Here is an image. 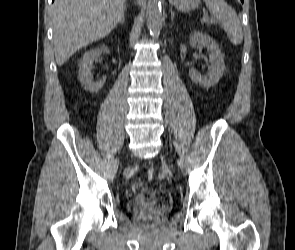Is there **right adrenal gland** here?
I'll use <instances>...</instances> for the list:
<instances>
[{
	"label": "right adrenal gland",
	"mask_w": 295,
	"mask_h": 250,
	"mask_svg": "<svg viewBox=\"0 0 295 250\" xmlns=\"http://www.w3.org/2000/svg\"><path fill=\"white\" fill-rule=\"evenodd\" d=\"M118 23H122V24H124V23H125V17H124V13L121 15V17H120V19H119Z\"/></svg>",
	"instance_id": "1"
}]
</instances>
